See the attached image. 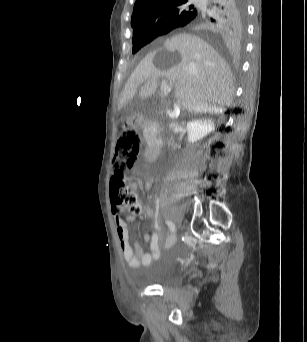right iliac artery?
Wrapping results in <instances>:
<instances>
[{"label": "right iliac artery", "instance_id": "1", "mask_svg": "<svg viewBox=\"0 0 307 342\" xmlns=\"http://www.w3.org/2000/svg\"><path fill=\"white\" fill-rule=\"evenodd\" d=\"M165 222H166V224L168 225V227H169L171 233L174 234L175 231H176L175 225H174L171 221H169V220H166Z\"/></svg>", "mask_w": 307, "mask_h": 342}]
</instances>
